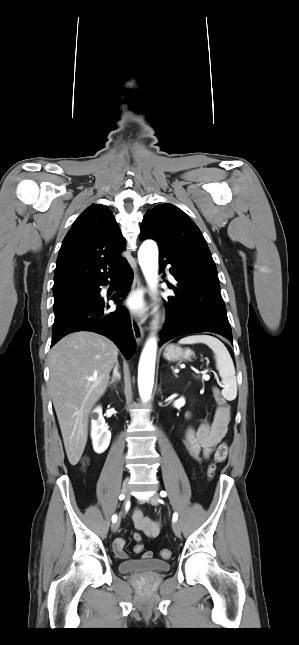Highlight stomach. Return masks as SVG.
Returning <instances> with one entry per match:
<instances>
[{
  "instance_id": "0dacf381",
  "label": "stomach",
  "mask_w": 299,
  "mask_h": 645,
  "mask_svg": "<svg viewBox=\"0 0 299 645\" xmlns=\"http://www.w3.org/2000/svg\"><path fill=\"white\" fill-rule=\"evenodd\" d=\"M192 355L193 352L190 349H182L174 344L168 345L163 353L164 358L171 362L189 360Z\"/></svg>"
}]
</instances>
